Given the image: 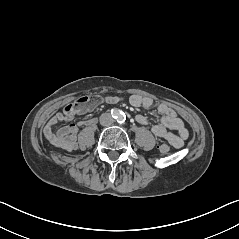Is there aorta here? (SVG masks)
<instances>
[{"mask_svg": "<svg viewBox=\"0 0 239 239\" xmlns=\"http://www.w3.org/2000/svg\"><path fill=\"white\" fill-rule=\"evenodd\" d=\"M114 118L117 122H123L124 121V115L122 113H116Z\"/></svg>", "mask_w": 239, "mask_h": 239, "instance_id": "aorta-1", "label": "aorta"}]
</instances>
